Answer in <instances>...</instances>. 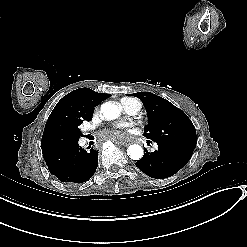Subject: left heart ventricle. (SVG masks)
<instances>
[{
  "mask_svg": "<svg viewBox=\"0 0 247 247\" xmlns=\"http://www.w3.org/2000/svg\"><path fill=\"white\" fill-rule=\"evenodd\" d=\"M117 126H119L128 135L131 150L133 152H137L138 151V139L135 135L136 125L133 122V120L128 115H124L117 122Z\"/></svg>",
  "mask_w": 247,
  "mask_h": 247,
  "instance_id": "left-heart-ventricle-1",
  "label": "left heart ventricle"
}]
</instances>
